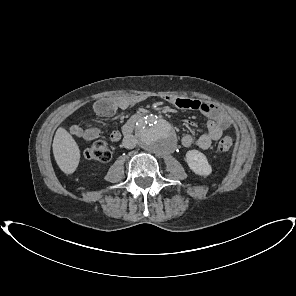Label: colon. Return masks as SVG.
<instances>
[{
	"mask_svg": "<svg viewBox=\"0 0 296 296\" xmlns=\"http://www.w3.org/2000/svg\"><path fill=\"white\" fill-rule=\"evenodd\" d=\"M234 143V139L231 136L222 138L218 144L217 149L219 151L225 152L228 151ZM111 149L109 145L104 140H97L91 144L84 151V156L96 162L104 163L110 160L111 158Z\"/></svg>",
	"mask_w": 296,
	"mask_h": 296,
	"instance_id": "obj_1",
	"label": "colon"
}]
</instances>
